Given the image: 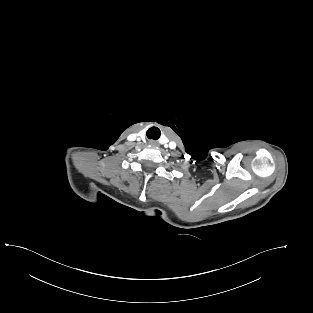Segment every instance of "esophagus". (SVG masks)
<instances>
[{"mask_svg": "<svg viewBox=\"0 0 313 313\" xmlns=\"http://www.w3.org/2000/svg\"><path fill=\"white\" fill-rule=\"evenodd\" d=\"M150 144L154 145V144H156V142L155 141H150Z\"/></svg>", "mask_w": 313, "mask_h": 313, "instance_id": "1", "label": "esophagus"}]
</instances>
